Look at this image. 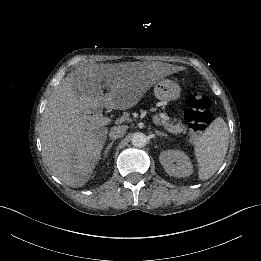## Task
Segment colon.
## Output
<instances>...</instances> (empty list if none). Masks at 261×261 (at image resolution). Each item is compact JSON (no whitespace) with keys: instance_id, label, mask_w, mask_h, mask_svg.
Wrapping results in <instances>:
<instances>
[{"instance_id":"5ec220e1","label":"colon","mask_w":261,"mask_h":261,"mask_svg":"<svg viewBox=\"0 0 261 261\" xmlns=\"http://www.w3.org/2000/svg\"><path fill=\"white\" fill-rule=\"evenodd\" d=\"M212 101L210 97L197 88H192L186 100L184 119L192 137L200 135L211 121Z\"/></svg>"}]
</instances>
